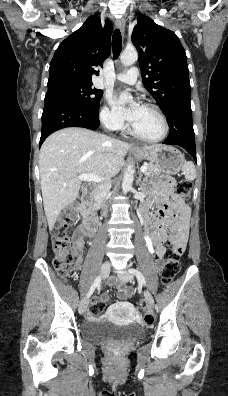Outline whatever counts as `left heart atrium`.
Listing matches in <instances>:
<instances>
[{"label":"left heart atrium","instance_id":"obj_1","mask_svg":"<svg viewBox=\"0 0 228 396\" xmlns=\"http://www.w3.org/2000/svg\"><path fill=\"white\" fill-rule=\"evenodd\" d=\"M112 105L114 110L120 117L127 119L132 123L135 121L138 111L140 109V105L138 103H134L129 108H125L123 106L122 99L119 96H115L112 99Z\"/></svg>","mask_w":228,"mask_h":396}]
</instances>
